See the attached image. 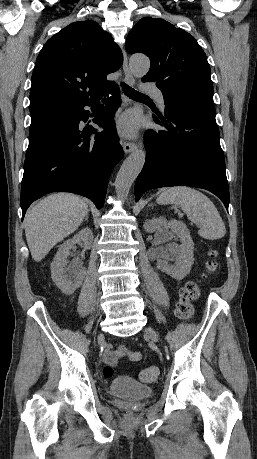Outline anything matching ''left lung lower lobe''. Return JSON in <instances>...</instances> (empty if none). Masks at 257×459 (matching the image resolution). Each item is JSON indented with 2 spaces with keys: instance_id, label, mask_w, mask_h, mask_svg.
<instances>
[{
  "instance_id": "1",
  "label": "left lung lower lobe",
  "mask_w": 257,
  "mask_h": 459,
  "mask_svg": "<svg viewBox=\"0 0 257 459\" xmlns=\"http://www.w3.org/2000/svg\"><path fill=\"white\" fill-rule=\"evenodd\" d=\"M164 102L165 116H154L160 128L145 133L146 160L135 183V201L152 188L184 185L209 190L228 210L229 188L212 97L167 95Z\"/></svg>"
}]
</instances>
